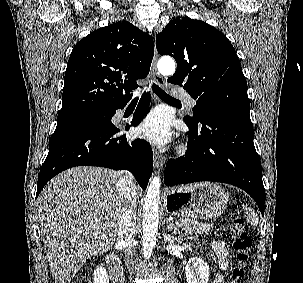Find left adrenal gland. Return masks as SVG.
Returning <instances> with one entry per match:
<instances>
[{"label":"left adrenal gland","mask_w":303,"mask_h":283,"mask_svg":"<svg viewBox=\"0 0 303 283\" xmlns=\"http://www.w3.org/2000/svg\"><path fill=\"white\" fill-rule=\"evenodd\" d=\"M167 224H168L167 228H168L169 232H171V233L176 232L177 234H180L179 228L176 227L172 222L167 221Z\"/></svg>","instance_id":"left-adrenal-gland-1"}]
</instances>
